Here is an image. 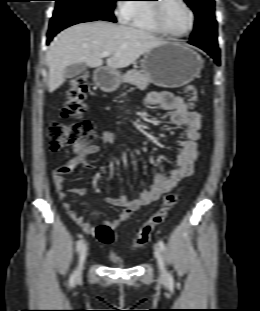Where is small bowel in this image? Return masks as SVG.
I'll list each match as a JSON object with an SVG mask.
<instances>
[{
	"label": "small bowel",
	"mask_w": 260,
	"mask_h": 311,
	"mask_svg": "<svg viewBox=\"0 0 260 311\" xmlns=\"http://www.w3.org/2000/svg\"><path fill=\"white\" fill-rule=\"evenodd\" d=\"M146 102L150 106L158 107L164 112L169 113L170 123L184 129L185 139L178 140L181 149L177 157L176 167L168 176L157 173L154 176L151 186L143 190L137 199L129 200L123 195L106 199L108 204L123 209L115 219L107 222L113 229H116L122 222L128 220L138 209L158 200L161 195L171 191L182 178L189 176L192 173L193 164L199 152L200 115L197 112L189 110L183 98L169 92L153 91L147 95ZM115 140L116 136L114 133L110 131L102 132L101 142L103 144H113ZM99 151L100 146L97 144L87 147H75L74 156L66 163L54 168L52 173V181L58 198L62 201V207L70 219L87 234H94L96 226L87 222L66 201L65 181L66 176L79 166L85 169H92L93 165L87 158L97 154ZM74 191L77 193L83 192L82 189H75Z\"/></svg>",
	"instance_id": "c3829d8e"
}]
</instances>
